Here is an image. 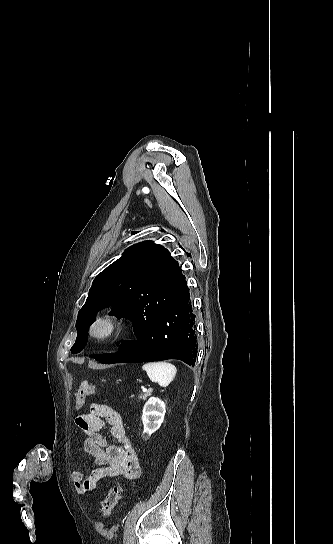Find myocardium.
Masks as SVG:
<instances>
[{
    "instance_id": "myocardium-1",
    "label": "myocardium",
    "mask_w": 333,
    "mask_h": 544,
    "mask_svg": "<svg viewBox=\"0 0 333 544\" xmlns=\"http://www.w3.org/2000/svg\"><path fill=\"white\" fill-rule=\"evenodd\" d=\"M118 328V319L110 313H103L91 322L88 333L93 340L104 342L111 339L116 334Z\"/></svg>"
}]
</instances>
